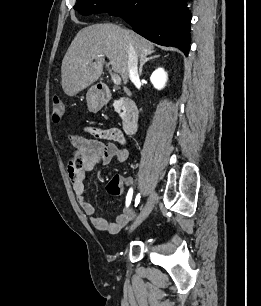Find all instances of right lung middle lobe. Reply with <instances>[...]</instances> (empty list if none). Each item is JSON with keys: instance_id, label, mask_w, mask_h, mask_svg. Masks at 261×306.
<instances>
[{"instance_id": "right-lung-middle-lobe-1", "label": "right lung middle lobe", "mask_w": 261, "mask_h": 306, "mask_svg": "<svg viewBox=\"0 0 261 306\" xmlns=\"http://www.w3.org/2000/svg\"><path fill=\"white\" fill-rule=\"evenodd\" d=\"M129 0H77L74 6L82 15L108 13L126 4Z\"/></svg>"}]
</instances>
